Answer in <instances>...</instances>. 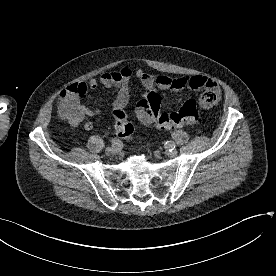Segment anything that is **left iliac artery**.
<instances>
[{
    "mask_svg": "<svg viewBox=\"0 0 276 276\" xmlns=\"http://www.w3.org/2000/svg\"><path fill=\"white\" fill-rule=\"evenodd\" d=\"M165 147H166L167 149H175V143H174L173 141H167V142L165 143Z\"/></svg>",
    "mask_w": 276,
    "mask_h": 276,
    "instance_id": "44dca946",
    "label": "left iliac artery"
}]
</instances>
